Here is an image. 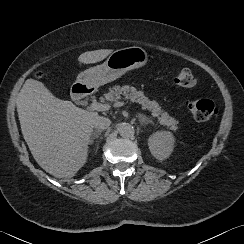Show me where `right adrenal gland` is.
<instances>
[{"label":"right adrenal gland","instance_id":"1","mask_svg":"<svg viewBox=\"0 0 244 244\" xmlns=\"http://www.w3.org/2000/svg\"><path fill=\"white\" fill-rule=\"evenodd\" d=\"M101 133H102V130L94 131L93 134H92L91 140H90V144H93L94 143V139H96V138L98 139L99 136L101 135ZM97 148H98V146H97Z\"/></svg>","mask_w":244,"mask_h":244}]
</instances>
